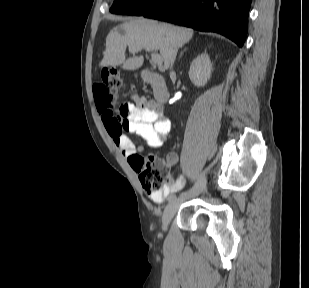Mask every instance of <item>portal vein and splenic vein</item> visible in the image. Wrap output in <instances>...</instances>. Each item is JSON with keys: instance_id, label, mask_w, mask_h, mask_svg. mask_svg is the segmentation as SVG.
Here are the masks:
<instances>
[{"instance_id": "1", "label": "portal vein and splenic vein", "mask_w": 309, "mask_h": 288, "mask_svg": "<svg viewBox=\"0 0 309 288\" xmlns=\"http://www.w3.org/2000/svg\"><path fill=\"white\" fill-rule=\"evenodd\" d=\"M130 51L137 52V51H140V49L139 48H134V49H131ZM151 61H152L153 64L159 65V66H161L162 63H163V59H162L161 55H158L156 53H152Z\"/></svg>"}]
</instances>
